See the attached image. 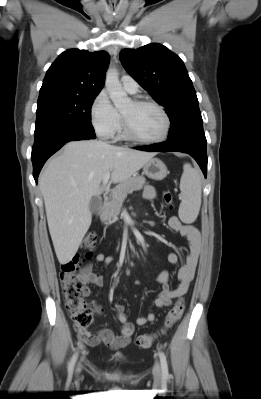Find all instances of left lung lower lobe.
<instances>
[{
  "instance_id": "1",
  "label": "left lung lower lobe",
  "mask_w": 261,
  "mask_h": 399,
  "mask_svg": "<svg viewBox=\"0 0 261 399\" xmlns=\"http://www.w3.org/2000/svg\"><path fill=\"white\" fill-rule=\"evenodd\" d=\"M207 141L204 132L195 134L179 141H166L144 147H136L142 151L154 152H183L191 155L202 169L204 176L207 175Z\"/></svg>"
}]
</instances>
